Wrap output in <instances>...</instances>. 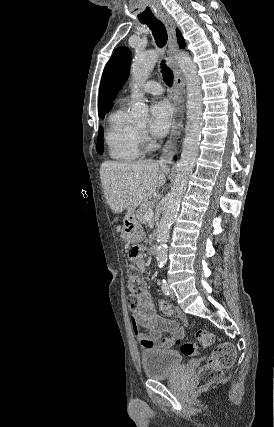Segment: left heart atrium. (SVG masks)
Segmentation results:
<instances>
[{
  "instance_id": "1",
  "label": "left heart atrium",
  "mask_w": 274,
  "mask_h": 427,
  "mask_svg": "<svg viewBox=\"0 0 274 427\" xmlns=\"http://www.w3.org/2000/svg\"><path fill=\"white\" fill-rule=\"evenodd\" d=\"M150 114L149 133L156 138L165 136L170 129L173 117V111L169 102L163 100L154 103Z\"/></svg>"
}]
</instances>
